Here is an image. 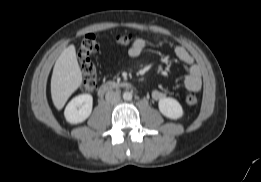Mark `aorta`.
Masks as SVG:
<instances>
[{"mask_svg": "<svg viewBox=\"0 0 261 182\" xmlns=\"http://www.w3.org/2000/svg\"><path fill=\"white\" fill-rule=\"evenodd\" d=\"M132 97H133L132 93L129 92V91H125L123 93V99L126 100V101H130L132 99Z\"/></svg>", "mask_w": 261, "mask_h": 182, "instance_id": "1", "label": "aorta"}]
</instances>
